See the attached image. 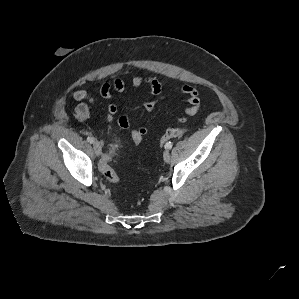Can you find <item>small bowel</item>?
Returning a JSON list of instances; mask_svg holds the SVG:
<instances>
[{
    "instance_id": "1",
    "label": "small bowel",
    "mask_w": 299,
    "mask_h": 299,
    "mask_svg": "<svg viewBox=\"0 0 299 299\" xmlns=\"http://www.w3.org/2000/svg\"><path fill=\"white\" fill-rule=\"evenodd\" d=\"M148 85L151 94L154 96L153 99L147 100L143 103V107L147 111H152L156 105L158 100L163 95V86L162 84L153 77L147 76H134L131 80V87L139 88L142 85ZM126 88V84L122 78H116L112 83H104L100 88V95L105 100H110L112 98V92H123ZM174 91H178L187 97V101L189 105L183 110L182 117L179 119L180 122H184L188 117L195 115L201 107V102L198 96L197 91L188 85H184L181 87H173ZM73 98L78 102L76 106L75 113L79 120L84 121L90 117V104L94 102V97L87 92L86 90H76L73 93ZM117 106L115 104H109L107 106L106 111V122L110 123L115 119L117 114ZM118 125L120 128L124 130H128L130 128V122L127 115H120L118 118ZM145 134L147 133V129L145 127H138Z\"/></svg>"
}]
</instances>
